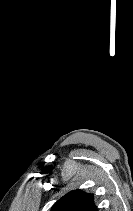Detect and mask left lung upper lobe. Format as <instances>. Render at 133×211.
Listing matches in <instances>:
<instances>
[{"label": "left lung upper lobe", "instance_id": "left-lung-upper-lobe-1", "mask_svg": "<svg viewBox=\"0 0 133 211\" xmlns=\"http://www.w3.org/2000/svg\"><path fill=\"white\" fill-rule=\"evenodd\" d=\"M52 211H97V206L92 194L73 190L60 198Z\"/></svg>", "mask_w": 133, "mask_h": 211}]
</instances>
